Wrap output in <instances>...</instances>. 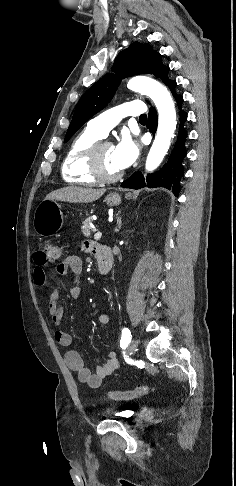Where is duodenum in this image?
I'll use <instances>...</instances> for the list:
<instances>
[{
    "mask_svg": "<svg viewBox=\"0 0 236 486\" xmlns=\"http://www.w3.org/2000/svg\"><path fill=\"white\" fill-rule=\"evenodd\" d=\"M95 255L97 257L100 273L107 274L113 265V255L110 247L102 244H96Z\"/></svg>",
    "mask_w": 236,
    "mask_h": 486,
    "instance_id": "410a0bca",
    "label": "duodenum"
}]
</instances>
